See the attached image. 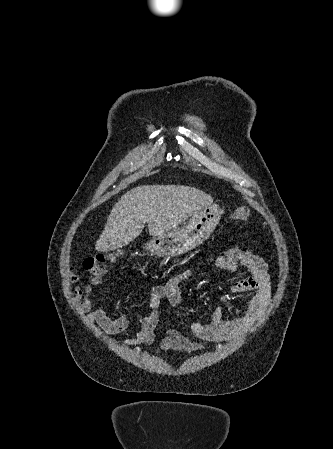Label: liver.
Returning <instances> with one entry per match:
<instances>
[{
	"label": "liver",
	"instance_id": "6515ba94",
	"mask_svg": "<svg viewBox=\"0 0 333 449\" xmlns=\"http://www.w3.org/2000/svg\"><path fill=\"white\" fill-rule=\"evenodd\" d=\"M205 192L183 185H144L124 194L113 206L95 249L109 252L137 238L147 222L149 234L161 236L212 204Z\"/></svg>",
	"mask_w": 333,
	"mask_h": 449
}]
</instances>
